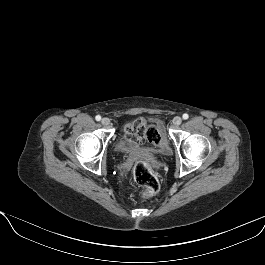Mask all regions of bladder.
I'll return each instance as SVG.
<instances>
[{"label":"bladder","instance_id":"bladder-1","mask_svg":"<svg viewBox=\"0 0 265 265\" xmlns=\"http://www.w3.org/2000/svg\"><path fill=\"white\" fill-rule=\"evenodd\" d=\"M156 123L157 124H161V121L159 119H156ZM135 147V144L132 142H127L125 140L124 135H122L119 139V141L116 144V149L119 152L125 153V152H129L131 149H133Z\"/></svg>","mask_w":265,"mask_h":265}]
</instances>
